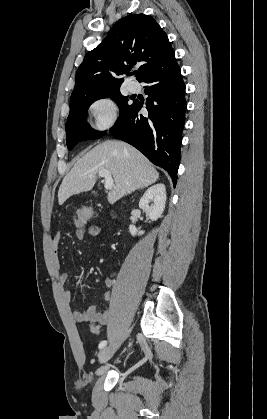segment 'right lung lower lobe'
<instances>
[{
    "instance_id": "98d812e1",
    "label": "right lung lower lobe",
    "mask_w": 267,
    "mask_h": 419,
    "mask_svg": "<svg viewBox=\"0 0 267 419\" xmlns=\"http://www.w3.org/2000/svg\"><path fill=\"white\" fill-rule=\"evenodd\" d=\"M140 82L147 84L148 115L140 114L143 103L134 100L110 133L133 145L152 163L165 169L175 186L187 108L180 67L175 61L152 71Z\"/></svg>"
}]
</instances>
